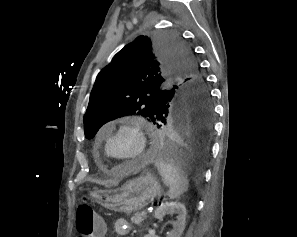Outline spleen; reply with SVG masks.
Wrapping results in <instances>:
<instances>
[{
    "mask_svg": "<svg viewBox=\"0 0 297 237\" xmlns=\"http://www.w3.org/2000/svg\"><path fill=\"white\" fill-rule=\"evenodd\" d=\"M155 166L165 184L169 186L168 196L170 199L179 198L188 190L189 181L187 177L174 163L158 160Z\"/></svg>",
    "mask_w": 297,
    "mask_h": 237,
    "instance_id": "spleen-1",
    "label": "spleen"
}]
</instances>
